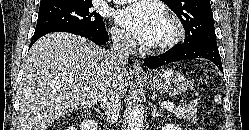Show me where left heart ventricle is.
Returning a JSON list of instances; mask_svg holds the SVG:
<instances>
[{
    "label": "left heart ventricle",
    "instance_id": "b2bd125f",
    "mask_svg": "<svg viewBox=\"0 0 249 130\" xmlns=\"http://www.w3.org/2000/svg\"><path fill=\"white\" fill-rule=\"evenodd\" d=\"M170 34H171V27L165 21L164 24H163V26H162V28H161L159 39H158L157 43H159L160 41H162L165 38H167Z\"/></svg>",
    "mask_w": 249,
    "mask_h": 130
}]
</instances>
